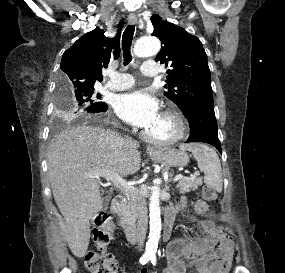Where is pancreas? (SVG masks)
<instances>
[{"label": "pancreas", "mask_w": 285, "mask_h": 273, "mask_svg": "<svg viewBox=\"0 0 285 273\" xmlns=\"http://www.w3.org/2000/svg\"><path fill=\"white\" fill-rule=\"evenodd\" d=\"M202 185V179H181L177 184V188L181 193L190 192L191 190H196L198 186ZM129 200V212L132 215L136 213L135 201L139 192L136 189H132L130 191H126Z\"/></svg>", "instance_id": "cf45deb5"}]
</instances>
